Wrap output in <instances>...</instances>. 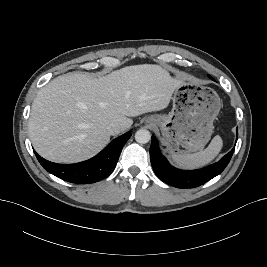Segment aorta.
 I'll return each instance as SVG.
<instances>
[{"mask_svg":"<svg viewBox=\"0 0 267 267\" xmlns=\"http://www.w3.org/2000/svg\"><path fill=\"white\" fill-rule=\"evenodd\" d=\"M151 139V134L146 129H139L135 133V140L140 144L148 143Z\"/></svg>","mask_w":267,"mask_h":267,"instance_id":"762f6f07","label":"aorta"}]
</instances>
